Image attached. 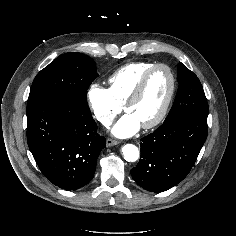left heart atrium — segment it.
<instances>
[{
  "label": "left heart atrium",
  "instance_id": "39dd6f15",
  "mask_svg": "<svg viewBox=\"0 0 236 236\" xmlns=\"http://www.w3.org/2000/svg\"><path fill=\"white\" fill-rule=\"evenodd\" d=\"M142 124L132 113H126L112 127L111 133L119 138H127L138 132Z\"/></svg>",
  "mask_w": 236,
  "mask_h": 236
}]
</instances>
